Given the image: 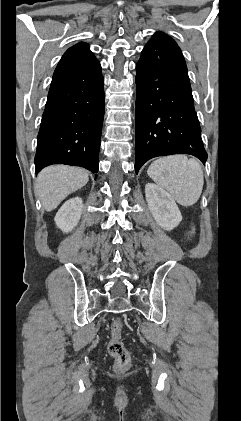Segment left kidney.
<instances>
[{
	"label": "left kidney",
	"instance_id": "5707ae66",
	"mask_svg": "<svg viewBox=\"0 0 241 421\" xmlns=\"http://www.w3.org/2000/svg\"><path fill=\"white\" fill-rule=\"evenodd\" d=\"M145 197L149 210L159 226L170 231L179 225L182 215L168 192L153 183H147Z\"/></svg>",
	"mask_w": 241,
	"mask_h": 421
}]
</instances>
